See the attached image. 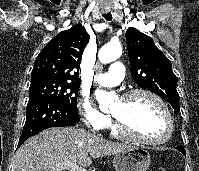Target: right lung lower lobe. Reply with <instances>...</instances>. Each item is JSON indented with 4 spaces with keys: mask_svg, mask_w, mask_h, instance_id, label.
I'll list each match as a JSON object with an SVG mask.
<instances>
[{
    "mask_svg": "<svg viewBox=\"0 0 199 171\" xmlns=\"http://www.w3.org/2000/svg\"><path fill=\"white\" fill-rule=\"evenodd\" d=\"M79 121L76 110L69 108L55 98L37 95L29 98L26 122L18 147L29 137L51 127L72 126Z\"/></svg>",
    "mask_w": 199,
    "mask_h": 171,
    "instance_id": "98d812e1",
    "label": "right lung lower lobe"
}]
</instances>
